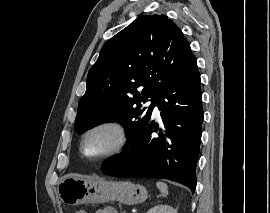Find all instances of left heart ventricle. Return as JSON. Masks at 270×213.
<instances>
[{
  "instance_id": "1",
  "label": "left heart ventricle",
  "mask_w": 270,
  "mask_h": 213,
  "mask_svg": "<svg viewBox=\"0 0 270 213\" xmlns=\"http://www.w3.org/2000/svg\"><path fill=\"white\" fill-rule=\"evenodd\" d=\"M114 135L108 131H99L89 136L85 142V151L89 155H98L110 147Z\"/></svg>"
}]
</instances>
